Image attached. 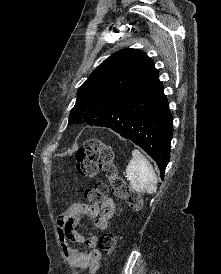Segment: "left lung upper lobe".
<instances>
[{"label":"left lung upper lobe","mask_w":221,"mask_h":274,"mask_svg":"<svg viewBox=\"0 0 221 274\" xmlns=\"http://www.w3.org/2000/svg\"><path fill=\"white\" fill-rule=\"evenodd\" d=\"M158 72L151 58L137 49H123L102 62L78 89L70 123L91 125L94 113L136 98Z\"/></svg>","instance_id":"obj_1"}]
</instances>
